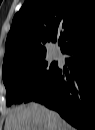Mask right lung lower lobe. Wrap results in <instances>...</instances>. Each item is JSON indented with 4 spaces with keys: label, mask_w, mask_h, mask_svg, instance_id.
Masks as SVG:
<instances>
[{
    "label": "right lung lower lobe",
    "mask_w": 95,
    "mask_h": 130,
    "mask_svg": "<svg viewBox=\"0 0 95 130\" xmlns=\"http://www.w3.org/2000/svg\"><path fill=\"white\" fill-rule=\"evenodd\" d=\"M71 73L58 68L50 81L31 101L57 111L67 122L87 129L95 117V32L63 50Z\"/></svg>",
    "instance_id": "98d812e1"
}]
</instances>
